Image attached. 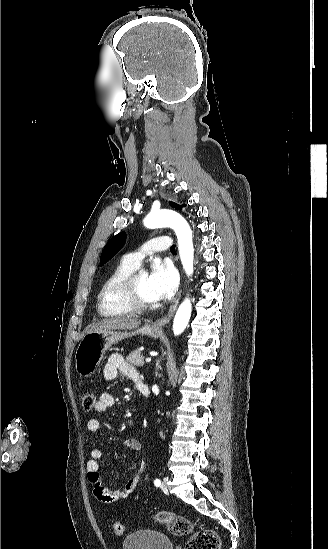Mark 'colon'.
Returning <instances> with one entry per match:
<instances>
[{"instance_id":"1","label":"colon","mask_w":328,"mask_h":549,"mask_svg":"<svg viewBox=\"0 0 328 549\" xmlns=\"http://www.w3.org/2000/svg\"><path fill=\"white\" fill-rule=\"evenodd\" d=\"M96 403V396L92 391H85L82 395V408L84 411H91ZM156 522L165 524L168 530L175 536H187L193 531L192 522L181 515L168 511H160L154 515ZM112 529L116 534L124 532L123 524L119 521L113 523ZM220 539L218 534L212 530H200L192 534L185 546V549H219Z\"/></svg>"}]
</instances>
